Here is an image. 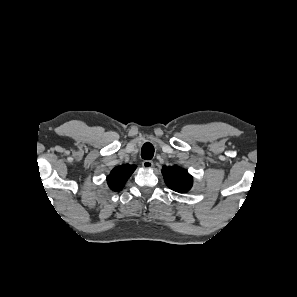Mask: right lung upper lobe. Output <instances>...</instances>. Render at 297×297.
Returning a JSON list of instances; mask_svg holds the SVG:
<instances>
[{
	"label": "right lung upper lobe",
	"instance_id": "obj_1",
	"mask_svg": "<svg viewBox=\"0 0 297 297\" xmlns=\"http://www.w3.org/2000/svg\"><path fill=\"white\" fill-rule=\"evenodd\" d=\"M135 169V166L128 164L114 168L107 177L109 188L113 191H120Z\"/></svg>",
	"mask_w": 297,
	"mask_h": 297
}]
</instances>
